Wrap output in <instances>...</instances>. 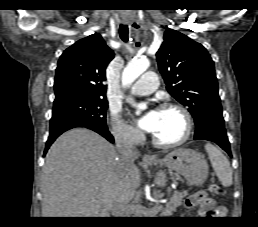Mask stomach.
I'll return each instance as SVG.
<instances>
[{
	"instance_id": "1",
	"label": "stomach",
	"mask_w": 258,
	"mask_h": 227,
	"mask_svg": "<svg viewBox=\"0 0 258 227\" xmlns=\"http://www.w3.org/2000/svg\"><path fill=\"white\" fill-rule=\"evenodd\" d=\"M148 165L167 167L181 174L190 185H201L208 176V164L204 156L187 148H178L162 159H154Z\"/></svg>"
}]
</instances>
